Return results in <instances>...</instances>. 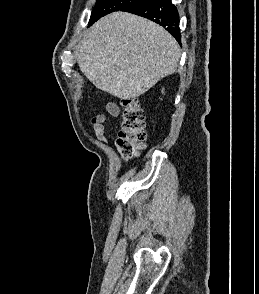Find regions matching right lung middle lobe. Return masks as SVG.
Here are the masks:
<instances>
[{
  "label": "right lung middle lobe",
  "mask_w": 259,
  "mask_h": 294,
  "mask_svg": "<svg viewBox=\"0 0 259 294\" xmlns=\"http://www.w3.org/2000/svg\"><path fill=\"white\" fill-rule=\"evenodd\" d=\"M138 0H97L92 11L90 22L93 23L99 18L115 11H121Z\"/></svg>",
  "instance_id": "obj_1"
}]
</instances>
